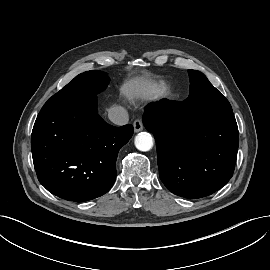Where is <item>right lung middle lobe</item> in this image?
I'll use <instances>...</instances> for the list:
<instances>
[{"instance_id": "dd1d6c3e", "label": "right lung middle lobe", "mask_w": 270, "mask_h": 270, "mask_svg": "<svg viewBox=\"0 0 270 270\" xmlns=\"http://www.w3.org/2000/svg\"><path fill=\"white\" fill-rule=\"evenodd\" d=\"M108 82L109 78L106 73L99 70H91L79 74L59 92L53 95L42 109L95 98L96 94L107 87Z\"/></svg>"}]
</instances>
